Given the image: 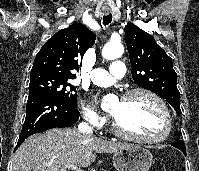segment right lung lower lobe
Listing matches in <instances>:
<instances>
[{"instance_id":"1","label":"right lung lower lobe","mask_w":199,"mask_h":171,"mask_svg":"<svg viewBox=\"0 0 199 171\" xmlns=\"http://www.w3.org/2000/svg\"><path fill=\"white\" fill-rule=\"evenodd\" d=\"M78 119L77 108L58 96L47 91L29 94L26 118L15 150L32 134L56 127H69Z\"/></svg>"}]
</instances>
